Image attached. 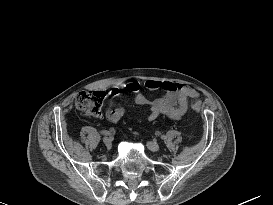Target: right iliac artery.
Returning a JSON list of instances; mask_svg holds the SVG:
<instances>
[{
    "label": "right iliac artery",
    "mask_w": 273,
    "mask_h": 205,
    "mask_svg": "<svg viewBox=\"0 0 273 205\" xmlns=\"http://www.w3.org/2000/svg\"><path fill=\"white\" fill-rule=\"evenodd\" d=\"M102 134H104V135H111V132H109V131H102Z\"/></svg>",
    "instance_id": "82829eb1"
}]
</instances>
